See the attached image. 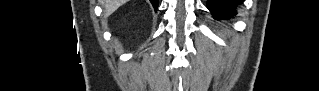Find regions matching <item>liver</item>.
I'll return each instance as SVG.
<instances>
[{"instance_id":"1","label":"liver","mask_w":319,"mask_h":91,"mask_svg":"<svg viewBox=\"0 0 319 91\" xmlns=\"http://www.w3.org/2000/svg\"><path fill=\"white\" fill-rule=\"evenodd\" d=\"M128 0H103V6L105 8V15H110L116 11L120 6L125 4Z\"/></svg>"}]
</instances>
